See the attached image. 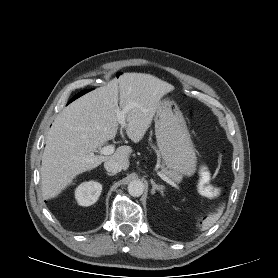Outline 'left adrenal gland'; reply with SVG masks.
Instances as JSON below:
<instances>
[{"label": "left adrenal gland", "mask_w": 278, "mask_h": 278, "mask_svg": "<svg viewBox=\"0 0 278 278\" xmlns=\"http://www.w3.org/2000/svg\"><path fill=\"white\" fill-rule=\"evenodd\" d=\"M150 181L152 184L151 194H155L156 191H159L160 193L163 194L164 186L156 184L153 179H151Z\"/></svg>", "instance_id": "obj_1"}]
</instances>
